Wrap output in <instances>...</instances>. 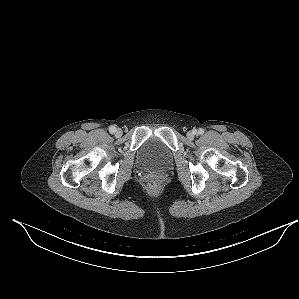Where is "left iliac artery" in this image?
Returning <instances> with one entry per match:
<instances>
[{
    "instance_id": "left-iliac-artery-1",
    "label": "left iliac artery",
    "mask_w": 299,
    "mask_h": 299,
    "mask_svg": "<svg viewBox=\"0 0 299 299\" xmlns=\"http://www.w3.org/2000/svg\"><path fill=\"white\" fill-rule=\"evenodd\" d=\"M198 133H199V134H203V133H204V130H203L202 128H200V129L198 130Z\"/></svg>"
}]
</instances>
